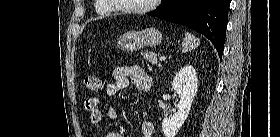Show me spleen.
Returning <instances> with one entry per match:
<instances>
[{"mask_svg":"<svg viewBox=\"0 0 280 137\" xmlns=\"http://www.w3.org/2000/svg\"><path fill=\"white\" fill-rule=\"evenodd\" d=\"M199 44L200 40L198 38H196L191 33L186 32L182 42V52L187 53L188 51H191L198 47Z\"/></svg>","mask_w":280,"mask_h":137,"instance_id":"obj_1","label":"spleen"}]
</instances>
